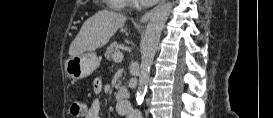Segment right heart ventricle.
<instances>
[{
    "label": "right heart ventricle",
    "instance_id": "obj_1",
    "mask_svg": "<svg viewBox=\"0 0 273 118\" xmlns=\"http://www.w3.org/2000/svg\"><path fill=\"white\" fill-rule=\"evenodd\" d=\"M121 4H122V2L112 1V7H113V8L118 9V8L121 7Z\"/></svg>",
    "mask_w": 273,
    "mask_h": 118
}]
</instances>
